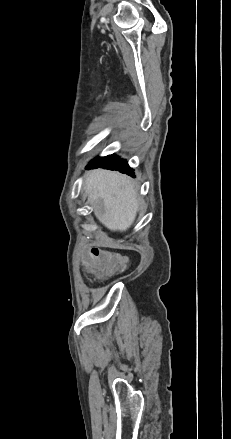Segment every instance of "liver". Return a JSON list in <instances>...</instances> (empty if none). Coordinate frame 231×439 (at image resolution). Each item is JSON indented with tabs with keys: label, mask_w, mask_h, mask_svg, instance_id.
<instances>
[{
	"label": "liver",
	"mask_w": 231,
	"mask_h": 439,
	"mask_svg": "<svg viewBox=\"0 0 231 439\" xmlns=\"http://www.w3.org/2000/svg\"><path fill=\"white\" fill-rule=\"evenodd\" d=\"M84 190L98 203L97 216L108 229L123 232L130 228L139 202L129 178L118 172L96 169L87 174Z\"/></svg>",
	"instance_id": "6515ba94"
}]
</instances>
